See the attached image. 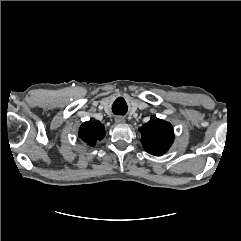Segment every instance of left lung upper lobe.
Instances as JSON below:
<instances>
[{
  "label": "left lung upper lobe",
  "mask_w": 241,
  "mask_h": 241,
  "mask_svg": "<svg viewBox=\"0 0 241 241\" xmlns=\"http://www.w3.org/2000/svg\"><path fill=\"white\" fill-rule=\"evenodd\" d=\"M139 131L144 149L155 156L166 153L174 140L172 125L155 116H152L151 120L144 124Z\"/></svg>",
  "instance_id": "obj_1"
}]
</instances>
